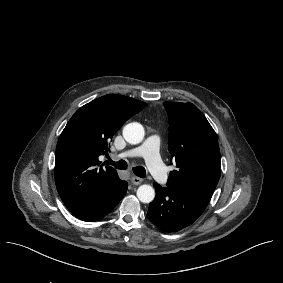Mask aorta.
Here are the masks:
<instances>
[{"label":"aorta","instance_id":"aorta-1","mask_svg":"<svg viewBox=\"0 0 283 283\" xmlns=\"http://www.w3.org/2000/svg\"><path fill=\"white\" fill-rule=\"evenodd\" d=\"M144 128L137 122L129 123L123 128V137L129 144H139L144 138ZM137 197L142 203H150L155 198L152 186L144 184L137 189Z\"/></svg>","mask_w":283,"mask_h":283}]
</instances>
